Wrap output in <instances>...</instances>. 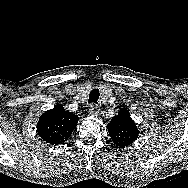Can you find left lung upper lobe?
Listing matches in <instances>:
<instances>
[{"instance_id": "5c2ea615", "label": "left lung upper lobe", "mask_w": 188, "mask_h": 188, "mask_svg": "<svg viewBox=\"0 0 188 188\" xmlns=\"http://www.w3.org/2000/svg\"><path fill=\"white\" fill-rule=\"evenodd\" d=\"M107 128L112 141L119 148L130 145L138 138L139 130L126 108L111 119Z\"/></svg>"}]
</instances>
